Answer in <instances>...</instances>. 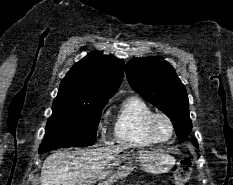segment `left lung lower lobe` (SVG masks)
Instances as JSON below:
<instances>
[{
    "mask_svg": "<svg viewBox=\"0 0 233 185\" xmlns=\"http://www.w3.org/2000/svg\"><path fill=\"white\" fill-rule=\"evenodd\" d=\"M192 143L194 144V146H195L196 148H198V144H197L196 141H192Z\"/></svg>",
    "mask_w": 233,
    "mask_h": 185,
    "instance_id": "1",
    "label": "left lung lower lobe"
}]
</instances>
